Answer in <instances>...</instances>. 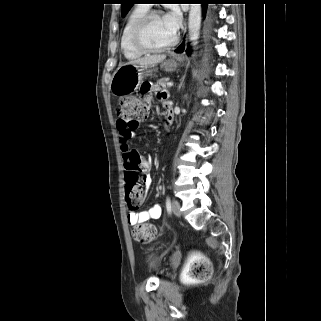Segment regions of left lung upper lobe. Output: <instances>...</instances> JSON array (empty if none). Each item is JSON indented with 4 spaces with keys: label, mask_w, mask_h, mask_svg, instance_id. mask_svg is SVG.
I'll return each instance as SVG.
<instances>
[{
    "label": "left lung upper lobe",
    "mask_w": 321,
    "mask_h": 321,
    "mask_svg": "<svg viewBox=\"0 0 321 321\" xmlns=\"http://www.w3.org/2000/svg\"><path fill=\"white\" fill-rule=\"evenodd\" d=\"M136 0H121V15L124 17L128 11L130 10V8L132 7V5L135 3Z\"/></svg>",
    "instance_id": "5c2ea615"
}]
</instances>
